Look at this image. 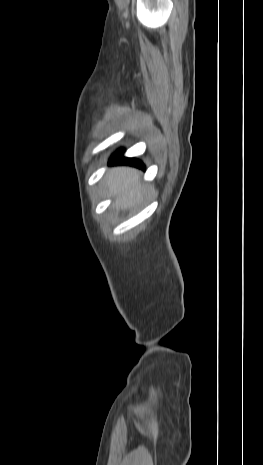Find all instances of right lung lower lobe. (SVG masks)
<instances>
[{
  "label": "right lung lower lobe",
  "mask_w": 263,
  "mask_h": 465,
  "mask_svg": "<svg viewBox=\"0 0 263 465\" xmlns=\"http://www.w3.org/2000/svg\"><path fill=\"white\" fill-rule=\"evenodd\" d=\"M109 163L110 164H127V165H132V166H136V167H139V168H144V165L141 161L137 160V159H134V158H125L123 157V152L122 151H118L116 153H114L111 157V159L109 160Z\"/></svg>",
  "instance_id": "1"
}]
</instances>
